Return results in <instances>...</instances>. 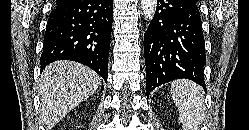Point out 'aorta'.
<instances>
[{
    "instance_id": "obj_1",
    "label": "aorta",
    "mask_w": 249,
    "mask_h": 130,
    "mask_svg": "<svg viewBox=\"0 0 249 130\" xmlns=\"http://www.w3.org/2000/svg\"><path fill=\"white\" fill-rule=\"evenodd\" d=\"M141 9L146 20H151L155 14L157 1L156 0H141Z\"/></svg>"
}]
</instances>
